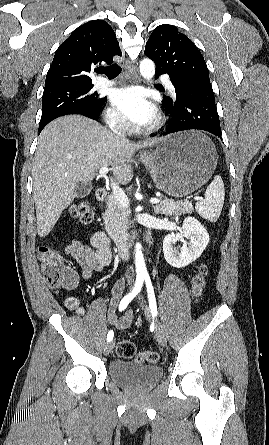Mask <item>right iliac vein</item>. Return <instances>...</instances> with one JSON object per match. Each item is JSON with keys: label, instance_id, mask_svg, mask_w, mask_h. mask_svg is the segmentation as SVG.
Returning <instances> with one entry per match:
<instances>
[{"label": "right iliac vein", "instance_id": "1", "mask_svg": "<svg viewBox=\"0 0 269 445\" xmlns=\"http://www.w3.org/2000/svg\"><path fill=\"white\" fill-rule=\"evenodd\" d=\"M114 347V341H109L104 347V354L109 355Z\"/></svg>", "mask_w": 269, "mask_h": 445}]
</instances>
